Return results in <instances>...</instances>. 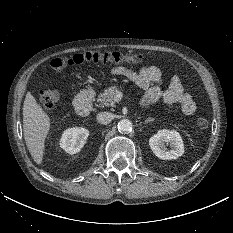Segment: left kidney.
I'll return each instance as SVG.
<instances>
[{
	"label": "left kidney",
	"instance_id": "1",
	"mask_svg": "<svg viewBox=\"0 0 233 233\" xmlns=\"http://www.w3.org/2000/svg\"><path fill=\"white\" fill-rule=\"evenodd\" d=\"M166 144H170L171 150H167ZM149 145L153 153L160 159H177L184 154V144L180 134L175 130H159L149 139Z\"/></svg>",
	"mask_w": 233,
	"mask_h": 233
}]
</instances>
